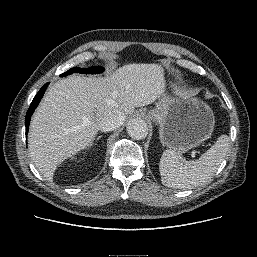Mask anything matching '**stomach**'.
I'll return each mask as SVG.
<instances>
[{
  "label": "stomach",
  "instance_id": "0dacf381",
  "mask_svg": "<svg viewBox=\"0 0 257 257\" xmlns=\"http://www.w3.org/2000/svg\"><path fill=\"white\" fill-rule=\"evenodd\" d=\"M147 117L159 125L162 145L178 153L197 147L210 138L215 124L211 108L186 93L177 97L163 95Z\"/></svg>",
  "mask_w": 257,
  "mask_h": 257
}]
</instances>
